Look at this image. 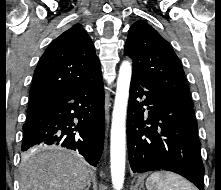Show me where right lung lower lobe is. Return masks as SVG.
Masks as SVG:
<instances>
[{"label": "right lung lower lobe", "mask_w": 221, "mask_h": 190, "mask_svg": "<svg viewBox=\"0 0 221 190\" xmlns=\"http://www.w3.org/2000/svg\"><path fill=\"white\" fill-rule=\"evenodd\" d=\"M39 145L66 147L98 164L104 145L102 74L29 105L21 150Z\"/></svg>", "instance_id": "98d812e1"}]
</instances>
